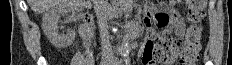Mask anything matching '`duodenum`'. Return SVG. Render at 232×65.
<instances>
[{
    "label": "duodenum",
    "mask_w": 232,
    "mask_h": 65,
    "mask_svg": "<svg viewBox=\"0 0 232 65\" xmlns=\"http://www.w3.org/2000/svg\"><path fill=\"white\" fill-rule=\"evenodd\" d=\"M82 34L85 38H90L92 34L91 30V22L87 20L84 25L82 26Z\"/></svg>",
    "instance_id": "duodenum-1"
}]
</instances>
